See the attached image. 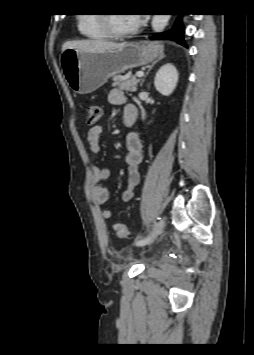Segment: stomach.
I'll list each match as a JSON object with an SVG mask.
<instances>
[{
    "mask_svg": "<svg viewBox=\"0 0 254 355\" xmlns=\"http://www.w3.org/2000/svg\"><path fill=\"white\" fill-rule=\"evenodd\" d=\"M163 50L160 43H125L118 49L95 52L66 49L61 53L60 63L71 89L89 94L110 77L152 62Z\"/></svg>",
    "mask_w": 254,
    "mask_h": 355,
    "instance_id": "0dacf381",
    "label": "stomach"
}]
</instances>
